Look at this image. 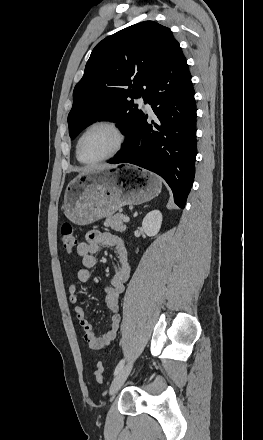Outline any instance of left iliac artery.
Returning <instances> with one entry per match:
<instances>
[{"label":"left iliac artery","instance_id":"left-iliac-artery-1","mask_svg":"<svg viewBox=\"0 0 263 440\" xmlns=\"http://www.w3.org/2000/svg\"><path fill=\"white\" fill-rule=\"evenodd\" d=\"M124 360H121L115 368L114 375H117L119 371L123 368Z\"/></svg>","mask_w":263,"mask_h":440}]
</instances>
